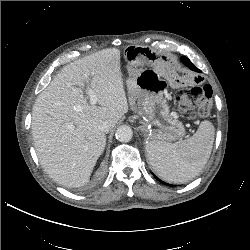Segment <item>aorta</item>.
Listing matches in <instances>:
<instances>
[{
	"label": "aorta",
	"mask_w": 250,
	"mask_h": 250,
	"mask_svg": "<svg viewBox=\"0 0 250 250\" xmlns=\"http://www.w3.org/2000/svg\"><path fill=\"white\" fill-rule=\"evenodd\" d=\"M116 139L120 142H129L133 137V131L128 125H122L116 130Z\"/></svg>",
	"instance_id": "762f6f07"
}]
</instances>
